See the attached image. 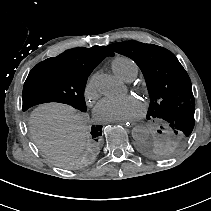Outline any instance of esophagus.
Wrapping results in <instances>:
<instances>
[{"instance_id": "obj_1", "label": "esophagus", "mask_w": 211, "mask_h": 211, "mask_svg": "<svg viewBox=\"0 0 211 211\" xmlns=\"http://www.w3.org/2000/svg\"><path fill=\"white\" fill-rule=\"evenodd\" d=\"M111 123H121V126L123 128H127V129H132L133 128V123L129 122L127 120H113V121H111Z\"/></svg>"}]
</instances>
